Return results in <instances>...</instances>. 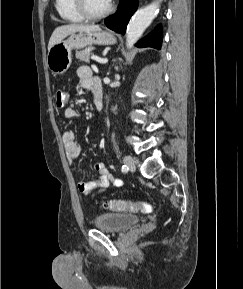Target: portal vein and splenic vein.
I'll return each mask as SVG.
<instances>
[{"mask_svg": "<svg viewBox=\"0 0 243 289\" xmlns=\"http://www.w3.org/2000/svg\"><path fill=\"white\" fill-rule=\"evenodd\" d=\"M91 58H92L93 60L97 61L98 63H101V64H105V63L108 62L107 59L99 58V57H97V56H92Z\"/></svg>", "mask_w": 243, "mask_h": 289, "instance_id": "18ae733b", "label": "portal vein and splenic vein"}]
</instances>
